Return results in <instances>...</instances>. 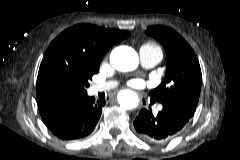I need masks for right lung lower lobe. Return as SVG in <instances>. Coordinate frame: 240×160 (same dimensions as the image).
<instances>
[{"instance_id":"1","label":"right lung lower lobe","mask_w":240,"mask_h":160,"mask_svg":"<svg viewBox=\"0 0 240 160\" xmlns=\"http://www.w3.org/2000/svg\"><path fill=\"white\" fill-rule=\"evenodd\" d=\"M104 99L87 94L77 98L53 97L38 104L43 122L59 139L72 141L92 133L101 116Z\"/></svg>"}]
</instances>
